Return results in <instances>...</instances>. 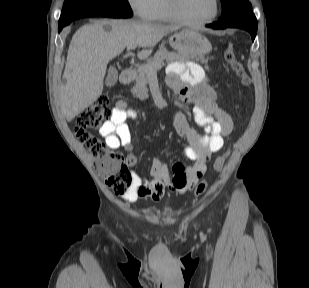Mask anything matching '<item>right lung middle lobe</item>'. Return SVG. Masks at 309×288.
Listing matches in <instances>:
<instances>
[{
  "mask_svg": "<svg viewBox=\"0 0 309 288\" xmlns=\"http://www.w3.org/2000/svg\"><path fill=\"white\" fill-rule=\"evenodd\" d=\"M96 9H115L132 12L127 0H66L59 26L68 25L84 13Z\"/></svg>",
  "mask_w": 309,
  "mask_h": 288,
  "instance_id": "obj_1",
  "label": "right lung middle lobe"
}]
</instances>
